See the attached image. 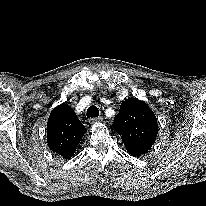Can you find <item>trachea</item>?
Listing matches in <instances>:
<instances>
[{
  "label": "trachea",
  "instance_id": "obj_1",
  "mask_svg": "<svg viewBox=\"0 0 206 206\" xmlns=\"http://www.w3.org/2000/svg\"><path fill=\"white\" fill-rule=\"evenodd\" d=\"M99 116V109L95 105H91L87 109V118H97Z\"/></svg>",
  "mask_w": 206,
  "mask_h": 206
}]
</instances>
